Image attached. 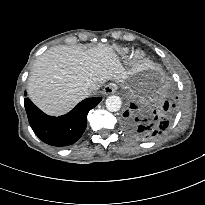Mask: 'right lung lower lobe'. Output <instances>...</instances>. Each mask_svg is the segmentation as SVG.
Listing matches in <instances>:
<instances>
[{"instance_id": "obj_1", "label": "right lung lower lobe", "mask_w": 205, "mask_h": 205, "mask_svg": "<svg viewBox=\"0 0 205 205\" xmlns=\"http://www.w3.org/2000/svg\"><path fill=\"white\" fill-rule=\"evenodd\" d=\"M101 100V97L87 98L68 114L59 117L44 114L28 98L24 99V106L30 126L43 142L52 146H67L82 136L88 112Z\"/></svg>"}]
</instances>
